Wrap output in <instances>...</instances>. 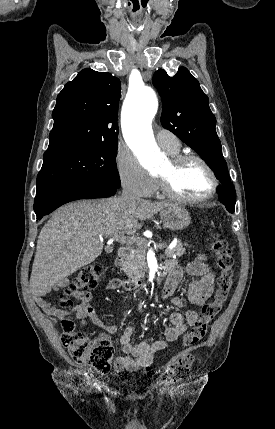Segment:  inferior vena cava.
I'll return each instance as SVG.
<instances>
[{
  "instance_id": "1",
  "label": "inferior vena cava",
  "mask_w": 275,
  "mask_h": 429,
  "mask_svg": "<svg viewBox=\"0 0 275 429\" xmlns=\"http://www.w3.org/2000/svg\"><path fill=\"white\" fill-rule=\"evenodd\" d=\"M121 198L126 202H133L139 200L140 198L135 194L129 186H124L121 194Z\"/></svg>"
}]
</instances>
